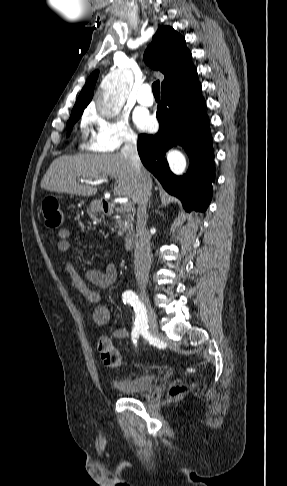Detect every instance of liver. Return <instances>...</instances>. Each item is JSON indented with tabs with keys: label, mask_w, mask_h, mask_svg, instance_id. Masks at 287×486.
I'll return each instance as SVG.
<instances>
[{
	"label": "liver",
	"mask_w": 287,
	"mask_h": 486,
	"mask_svg": "<svg viewBox=\"0 0 287 486\" xmlns=\"http://www.w3.org/2000/svg\"><path fill=\"white\" fill-rule=\"evenodd\" d=\"M108 177L116 180L114 195L137 202L138 180L133 166L121 153L61 156L52 162L40 185L51 192L92 196L97 187L88 181Z\"/></svg>",
	"instance_id": "6515ba94"
}]
</instances>
